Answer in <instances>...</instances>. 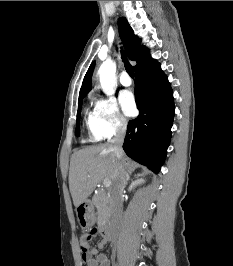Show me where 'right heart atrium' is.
<instances>
[{"label":"right heart atrium","mask_w":233,"mask_h":266,"mask_svg":"<svg viewBox=\"0 0 233 266\" xmlns=\"http://www.w3.org/2000/svg\"><path fill=\"white\" fill-rule=\"evenodd\" d=\"M127 124L115 98H101L96 102L93 131L100 138H111L124 133Z\"/></svg>","instance_id":"1"}]
</instances>
